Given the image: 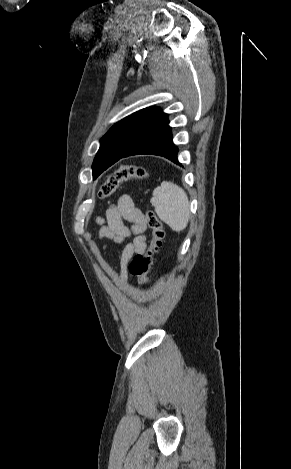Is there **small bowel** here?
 I'll list each match as a JSON object with an SVG mask.
<instances>
[{
	"label": "small bowel",
	"instance_id": "1",
	"mask_svg": "<svg viewBox=\"0 0 291 469\" xmlns=\"http://www.w3.org/2000/svg\"><path fill=\"white\" fill-rule=\"evenodd\" d=\"M126 222L130 223L129 226ZM100 228L96 234L99 239L108 238L121 243L132 237V242L126 244L121 253L119 280L125 284L128 279L127 267L131 258L142 254L146 250L147 242L144 232L147 222L143 213L138 209L129 196H122L115 206H111L105 218H98Z\"/></svg>",
	"mask_w": 291,
	"mask_h": 469
}]
</instances>
